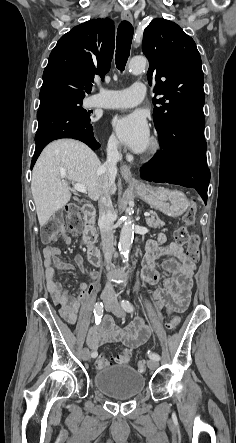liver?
<instances>
[{"instance_id": "obj_1", "label": "liver", "mask_w": 236, "mask_h": 443, "mask_svg": "<svg viewBox=\"0 0 236 443\" xmlns=\"http://www.w3.org/2000/svg\"><path fill=\"white\" fill-rule=\"evenodd\" d=\"M100 166L97 155L77 140H56L44 148L33 168L31 182L41 227L70 201L68 181L84 185L93 201L103 195V179L98 174ZM116 189L114 183L110 195L115 194Z\"/></svg>"}]
</instances>
